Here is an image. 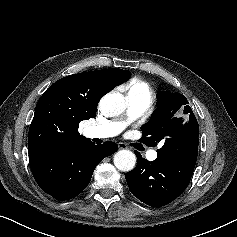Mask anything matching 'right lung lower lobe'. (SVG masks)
Listing matches in <instances>:
<instances>
[{"label": "right lung lower lobe", "mask_w": 237, "mask_h": 237, "mask_svg": "<svg viewBox=\"0 0 237 237\" xmlns=\"http://www.w3.org/2000/svg\"><path fill=\"white\" fill-rule=\"evenodd\" d=\"M114 142L95 145L89 139L70 143L29 159L39 187L58 200L79 195L89 184L95 167L117 151Z\"/></svg>", "instance_id": "obj_1"}]
</instances>
